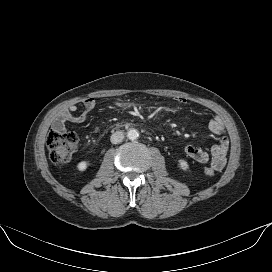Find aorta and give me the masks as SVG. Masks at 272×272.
Returning a JSON list of instances; mask_svg holds the SVG:
<instances>
[{"label": "aorta", "instance_id": "762f6f07", "mask_svg": "<svg viewBox=\"0 0 272 272\" xmlns=\"http://www.w3.org/2000/svg\"><path fill=\"white\" fill-rule=\"evenodd\" d=\"M139 134L136 129H130L127 133V137L129 140H136L138 138Z\"/></svg>", "mask_w": 272, "mask_h": 272}]
</instances>
